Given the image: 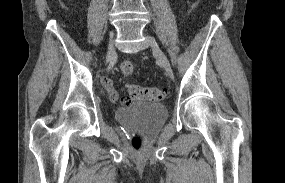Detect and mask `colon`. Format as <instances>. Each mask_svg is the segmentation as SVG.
<instances>
[{
  "instance_id": "obj_1",
  "label": "colon",
  "mask_w": 285,
  "mask_h": 183,
  "mask_svg": "<svg viewBox=\"0 0 285 183\" xmlns=\"http://www.w3.org/2000/svg\"><path fill=\"white\" fill-rule=\"evenodd\" d=\"M134 70L135 65L130 60H124L120 64V71L126 76L133 74ZM128 91L130 98H124L122 101L124 104L129 103L130 99L157 102L163 100L166 96V90L158 87H142L139 85H129ZM143 144L144 141L140 136H135L132 139V145L136 150L141 149Z\"/></svg>"
}]
</instances>
